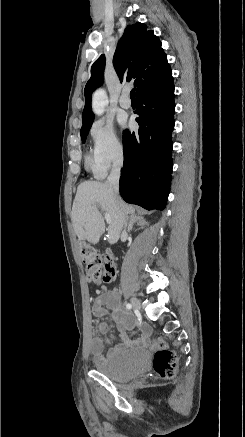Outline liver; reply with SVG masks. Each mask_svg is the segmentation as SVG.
I'll return each instance as SVG.
<instances>
[{
	"label": "liver",
	"instance_id": "liver-1",
	"mask_svg": "<svg viewBox=\"0 0 245 437\" xmlns=\"http://www.w3.org/2000/svg\"><path fill=\"white\" fill-rule=\"evenodd\" d=\"M99 208L110 215L108 237L111 244L120 238L127 215L135 210L114 194L108 182L87 181L78 186L71 212L74 231L79 240L97 244L105 232V221Z\"/></svg>",
	"mask_w": 245,
	"mask_h": 437
}]
</instances>
